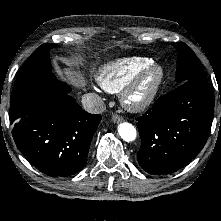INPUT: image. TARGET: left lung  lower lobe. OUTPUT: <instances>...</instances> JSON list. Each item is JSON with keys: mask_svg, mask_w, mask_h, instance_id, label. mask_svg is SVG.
I'll return each instance as SVG.
<instances>
[{"mask_svg": "<svg viewBox=\"0 0 221 221\" xmlns=\"http://www.w3.org/2000/svg\"><path fill=\"white\" fill-rule=\"evenodd\" d=\"M213 114L214 95L207 80H188L162 96L137 118L140 166L152 175L185 166L204 147Z\"/></svg>", "mask_w": 221, "mask_h": 221, "instance_id": "0a47b994", "label": "left lung lower lobe"}]
</instances>
